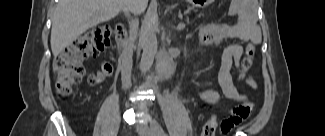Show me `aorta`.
<instances>
[{
  "label": "aorta",
  "mask_w": 325,
  "mask_h": 136,
  "mask_svg": "<svg viewBox=\"0 0 325 136\" xmlns=\"http://www.w3.org/2000/svg\"><path fill=\"white\" fill-rule=\"evenodd\" d=\"M156 28V14L153 10H149L144 17L141 30L143 53L140 62V70L143 73L150 70L157 54Z\"/></svg>",
  "instance_id": "obj_1"
}]
</instances>
